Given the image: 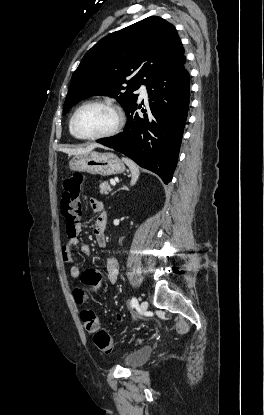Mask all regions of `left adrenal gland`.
<instances>
[{
    "label": "left adrenal gland",
    "mask_w": 264,
    "mask_h": 415,
    "mask_svg": "<svg viewBox=\"0 0 264 415\" xmlns=\"http://www.w3.org/2000/svg\"><path fill=\"white\" fill-rule=\"evenodd\" d=\"M124 189H126V190H127V187H126V186H123L122 188L118 189L117 191H119V190H124Z\"/></svg>",
    "instance_id": "left-adrenal-gland-1"
}]
</instances>
